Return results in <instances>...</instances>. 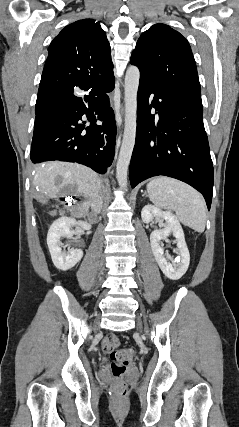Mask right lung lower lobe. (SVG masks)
I'll list each match as a JSON object with an SVG mask.
<instances>
[{
    "label": "right lung lower lobe",
    "mask_w": 239,
    "mask_h": 427,
    "mask_svg": "<svg viewBox=\"0 0 239 427\" xmlns=\"http://www.w3.org/2000/svg\"><path fill=\"white\" fill-rule=\"evenodd\" d=\"M114 82L113 75L92 87H69L37 99L31 161L77 162L105 173L114 158L117 133L107 95Z\"/></svg>",
    "instance_id": "1"
}]
</instances>
